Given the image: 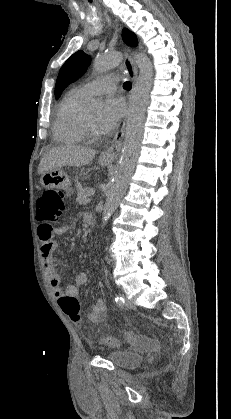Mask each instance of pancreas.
I'll use <instances>...</instances> for the list:
<instances>
[{
  "label": "pancreas",
  "mask_w": 231,
  "mask_h": 419,
  "mask_svg": "<svg viewBox=\"0 0 231 419\" xmlns=\"http://www.w3.org/2000/svg\"><path fill=\"white\" fill-rule=\"evenodd\" d=\"M77 188V199L76 201L78 202V204L80 205H86L90 202V199L88 198V191L90 190V188L88 187H82L79 183H77L76 185Z\"/></svg>",
  "instance_id": "pancreas-1"
}]
</instances>
